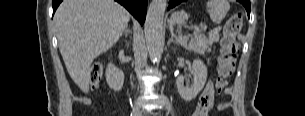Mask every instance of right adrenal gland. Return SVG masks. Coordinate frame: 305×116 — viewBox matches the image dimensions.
Masks as SVG:
<instances>
[{
    "label": "right adrenal gland",
    "mask_w": 305,
    "mask_h": 116,
    "mask_svg": "<svg viewBox=\"0 0 305 116\" xmlns=\"http://www.w3.org/2000/svg\"><path fill=\"white\" fill-rule=\"evenodd\" d=\"M130 33H131L130 29L128 27H126V29L124 31V36L127 37L128 34H130Z\"/></svg>",
    "instance_id": "1"
}]
</instances>
